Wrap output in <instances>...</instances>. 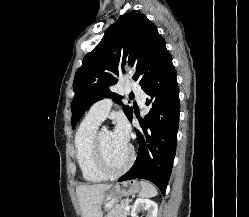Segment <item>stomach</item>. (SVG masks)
I'll return each mask as SVG.
<instances>
[{
    "mask_svg": "<svg viewBox=\"0 0 249 217\" xmlns=\"http://www.w3.org/2000/svg\"><path fill=\"white\" fill-rule=\"evenodd\" d=\"M140 188V184L136 180L113 185L102 200L104 211H110L122 198L137 194Z\"/></svg>",
    "mask_w": 249,
    "mask_h": 217,
    "instance_id": "0dacf381",
    "label": "stomach"
}]
</instances>
